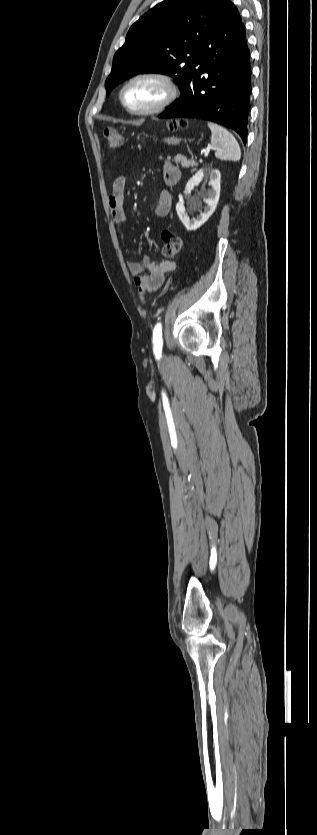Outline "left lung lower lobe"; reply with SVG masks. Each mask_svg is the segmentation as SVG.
<instances>
[{
	"instance_id": "left-lung-lower-lobe-1",
	"label": "left lung lower lobe",
	"mask_w": 317,
	"mask_h": 835,
	"mask_svg": "<svg viewBox=\"0 0 317 835\" xmlns=\"http://www.w3.org/2000/svg\"><path fill=\"white\" fill-rule=\"evenodd\" d=\"M250 90L245 27L231 3L202 45L181 96L158 117L213 121L233 129L246 143Z\"/></svg>"
}]
</instances>
